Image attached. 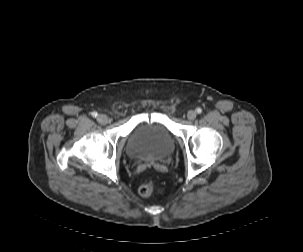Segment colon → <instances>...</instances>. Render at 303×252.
<instances>
[{"label": "colon", "mask_w": 303, "mask_h": 252, "mask_svg": "<svg viewBox=\"0 0 303 252\" xmlns=\"http://www.w3.org/2000/svg\"><path fill=\"white\" fill-rule=\"evenodd\" d=\"M160 191L161 190L157 188L156 184L153 181H147L143 183L139 188L140 194L144 197H150Z\"/></svg>", "instance_id": "5ec220e1"}]
</instances>
